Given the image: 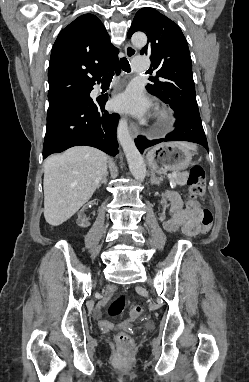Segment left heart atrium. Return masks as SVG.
<instances>
[{
	"instance_id": "obj_1",
	"label": "left heart atrium",
	"mask_w": 249,
	"mask_h": 382,
	"mask_svg": "<svg viewBox=\"0 0 249 382\" xmlns=\"http://www.w3.org/2000/svg\"><path fill=\"white\" fill-rule=\"evenodd\" d=\"M114 109L127 111L136 115H143L149 109V102L143 97L141 91L137 88H130L112 101Z\"/></svg>"
}]
</instances>
